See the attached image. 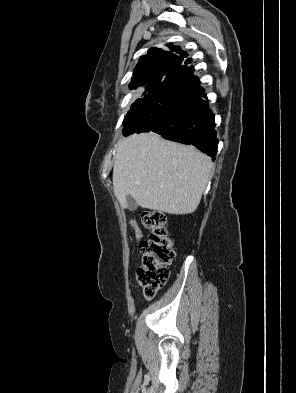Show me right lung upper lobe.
I'll list each match as a JSON object with an SVG mask.
<instances>
[{
    "mask_svg": "<svg viewBox=\"0 0 296 393\" xmlns=\"http://www.w3.org/2000/svg\"><path fill=\"white\" fill-rule=\"evenodd\" d=\"M169 48L170 51L150 48L147 54L140 58L129 84L130 89H136L153 80L165 79L180 68L187 67V65H182L184 58L187 57L186 52L172 44H169ZM173 51H176L179 55L173 53ZM190 62L191 59H187L185 64Z\"/></svg>",
    "mask_w": 296,
    "mask_h": 393,
    "instance_id": "obj_1",
    "label": "right lung upper lobe"
}]
</instances>
